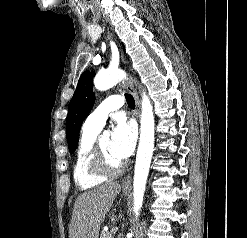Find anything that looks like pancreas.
<instances>
[{
    "label": "pancreas",
    "instance_id": "1",
    "mask_svg": "<svg viewBox=\"0 0 247 238\" xmlns=\"http://www.w3.org/2000/svg\"><path fill=\"white\" fill-rule=\"evenodd\" d=\"M100 238H113V233L111 231H102Z\"/></svg>",
    "mask_w": 247,
    "mask_h": 238
}]
</instances>
